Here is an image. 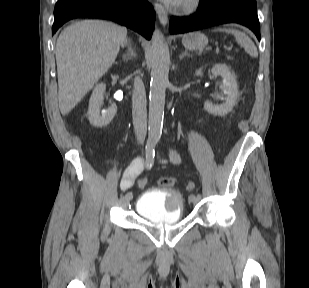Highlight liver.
<instances>
[{
  "label": "liver",
  "instance_id": "1",
  "mask_svg": "<svg viewBox=\"0 0 309 288\" xmlns=\"http://www.w3.org/2000/svg\"><path fill=\"white\" fill-rule=\"evenodd\" d=\"M126 36V28L100 20L79 21L61 32L55 54L62 115L71 112L109 70Z\"/></svg>",
  "mask_w": 309,
  "mask_h": 288
}]
</instances>
